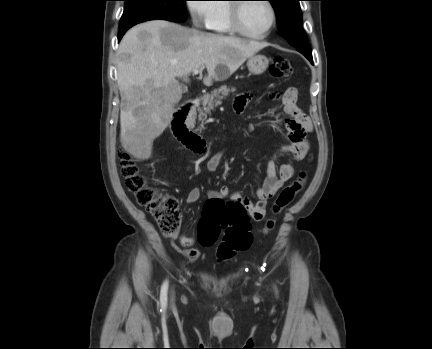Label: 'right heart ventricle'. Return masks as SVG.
<instances>
[{
    "label": "right heart ventricle",
    "instance_id": "e07e8e85",
    "mask_svg": "<svg viewBox=\"0 0 432 349\" xmlns=\"http://www.w3.org/2000/svg\"><path fill=\"white\" fill-rule=\"evenodd\" d=\"M226 0H217L212 4V11L207 22V28L220 35H231L234 31L229 20V6Z\"/></svg>",
    "mask_w": 432,
    "mask_h": 349
}]
</instances>
